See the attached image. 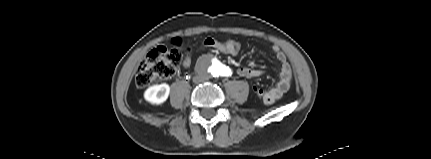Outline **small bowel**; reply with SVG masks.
Here are the masks:
<instances>
[{"mask_svg": "<svg viewBox=\"0 0 431 159\" xmlns=\"http://www.w3.org/2000/svg\"><path fill=\"white\" fill-rule=\"evenodd\" d=\"M204 46L211 48L214 46L217 49H225L226 46H228L229 49H236L238 53L240 50V44L234 40L218 41L208 38L204 41ZM273 51L275 52L276 58L280 63V74L276 85L269 91H265V94L261 97L263 102L267 105H272L276 100L281 98L289 90L292 83V70L285 55L279 51L277 47H274ZM191 63V55L190 52H188L183 59V67L188 68L190 67ZM237 73L241 77L248 79L257 78L263 75L262 70L252 69L245 65L240 66L237 70Z\"/></svg>", "mask_w": 431, "mask_h": 159, "instance_id": "1", "label": "small bowel"}]
</instances>
